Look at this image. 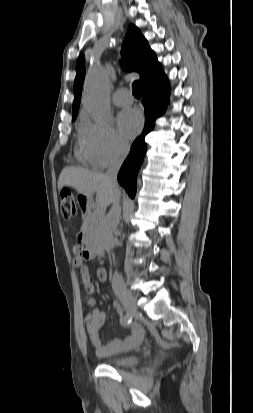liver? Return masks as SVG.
Listing matches in <instances>:
<instances>
[{"label": "liver", "mask_w": 253, "mask_h": 413, "mask_svg": "<svg viewBox=\"0 0 253 413\" xmlns=\"http://www.w3.org/2000/svg\"><path fill=\"white\" fill-rule=\"evenodd\" d=\"M64 186H70L89 198L96 193V203L101 209L114 203L119 195V189L111 184L106 175L74 166L62 170L58 190H62Z\"/></svg>", "instance_id": "1"}]
</instances>
